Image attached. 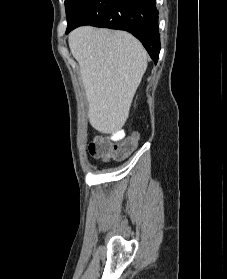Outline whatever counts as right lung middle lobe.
<instances>
[{"mask_svg":"<svg viewBox=\"0 0 227 279\" xmlns=\"http://www.w3.org/2000/svg\"><path fill=\"white\" fill-rule=\"evenodd\" d=\"M85 1L86 0H65V9L68 24L67 28H69L73 24L79 9Z\"/></svg>","mask_w":227,"mask_h":279,"instance_id":"obj_1","label":"right lung middle lobe"}]
</instances>
